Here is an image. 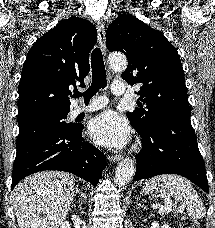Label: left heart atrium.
I'll use <instances>...</instances> for the list:
<instances>
[{
  "label": "left heart atrium",
  "instance_id": "obj_1",
  "mask_svg": "<svg viewBox=\"0 0 215 228\" xmlns=\"http://www.w3.org/2000/svg\"><path fill=\"white\" fill-rule=\"evenodd\" d=\"M88 132L96 144L112 148H123L131 138L128 121L112 110L94 117Z\"/></svg>",
  "mask_w": 215,
  "mask_h": 228
}]
</instances>
